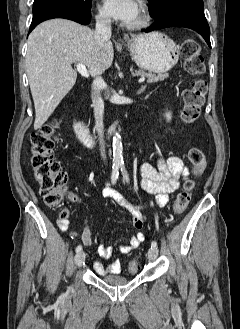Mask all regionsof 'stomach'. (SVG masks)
<instances>
[{
    "instance_id": "stomach-1",
    "label": "stomach",
    "mask_w": 240,
    "mask_h": 329,
    "mask_svg": "<svg viewBox=\"0 0 240 329\" xmlns=\"http://www.w3.org/2000/svg\"><path fill=\"white\" fill-rule=\"evenodd\" d=\"M128 48L137 66L153 73L169 71L179 59L175 42L159 32L134 37L128 42Z\"/></svg>"
}]
</instances>
